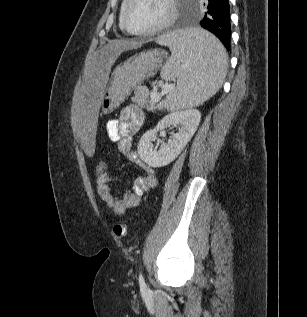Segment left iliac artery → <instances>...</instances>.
Segmentation results:
<instances>
[{
	"label": "left iliac artery",
	"instance_id": "obj_1",
	"mask_svg": "<svg viewBox=\"0 0 307 317\" xmlns=\"http://www.w3.org/2000/svg\"><path fill=\"white\" fill-rule=\"evenodd\" d=\"M139 284H140L141 288H145L146 287V283H145V280L143 278L142 273H140V275H139Z\"/></svg>",
	"mask_w": 307,
	"mask_h": 317
}]
</instances>
